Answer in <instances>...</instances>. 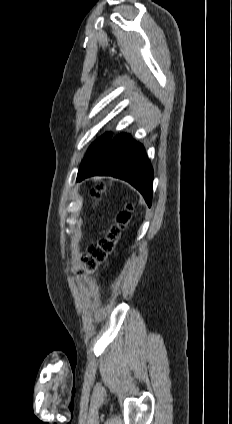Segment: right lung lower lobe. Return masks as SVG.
Instances as JSON below:
<instances>
[{"instance_id":"right-lung-lower-lobe-1","label":"right lung lower lobe","mask_w":232,"mask_h":424,"mask_svg":"<svg viewBox=\"0 0 232 424\" xmlns=\"http://www.w3.org/2000/svg\"><path fill=\"white\" fill-rule=\"evenodd\" d=\"M108 175L123 179L135 187L148 206L152 202L153 169L142 144L128 134H120L106 143L95 159L77 176V181Z\"/></svg>"}]
</instances>
